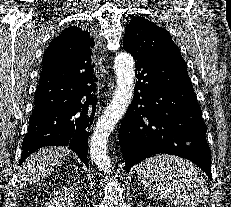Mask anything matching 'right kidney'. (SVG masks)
Returning a JSON list of instances; mask_svg holds the SVG:
<instances>
[{
	"mask_svg": "<svg viewBox=\"0 0 231 207\" xmlns=\"http://www.w3.org/2000/svg\"><path fill=\"white\" fill-rule=\"evenodd\" d=\"M74 194L69 188H62L55 191L50 196V201L46 203V207H73Z\"/></svg>",
	"mask_w": 231,
	"mask_h": 207,
	"instance_id": "ca27d5eb",
	"label": "right kidney"
}]
</instances>
